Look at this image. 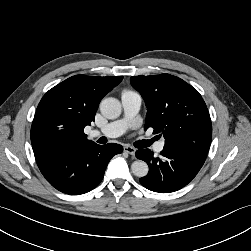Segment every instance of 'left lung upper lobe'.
<instances>
[{
  "instance_id": "1",
  "label": "left lung upper lobe",
  "mask_w": 251,
  "mask_h": 251,
  "mask_svg": "<svg viewBox=\"0 0 251 251\" xmlns=\"http://www.w3.org/2000/svg\"><path fill=\"white\" fill-rule=\"evenodd\" d=\"M131 85L142 95L147 116L144 129H154L165 146L196 148L208 153L212 124L200 93L182 79L169 74L132 76Z\"/></svg>"
}]
</instances>
